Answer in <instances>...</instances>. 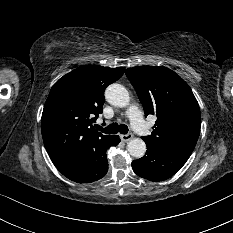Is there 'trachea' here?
<instances>
[{"label": "trachea", "mask_w": 233, "mask_h": 233, "mask_svg": "<svg viewBox=\"0 0 233 233\" xmlns=\"http://www.w3.org/2000/svg\"><path fill=\"white\" fill-rule=\"evenodd\" d=\"M98 129L106 134H116L118 132H120L121 134H127L129 131L127 125L125 124L119 125L117 123H112L105 128H101L100 126H98Z\"/></svg>", "instance_id": "obj_1"}]
</instances>
